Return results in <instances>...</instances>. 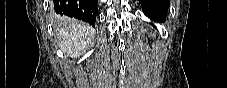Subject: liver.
I'll return each mask as SVG.
<instances>
[{"mask_svg":"<svg viewBox=\"0 0 227 88\" xmlns=\"http://www.w3.org/2000/svg\"><path fill=\"white\" fill-rule=\"evenodd\" d=\"M57 38L65 55L78 57L91 43L93 32L90 26L77 21H59Z\"/></svg>","mask_w":227,"mask_h":88,"instance_id":"liver-1","label":"liver"}]
</instances>
